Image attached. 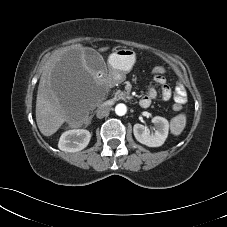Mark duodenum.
I'll return each instance as SVG.
<instances>
[{
    "mask_svg": "<svg viewBox=\"0 0 227 227\" xmlns=\"http://www.w3.org/2000/svg\"><path fill=\"white\" fill-rule=\"evenodd\" d=\"M140 106L143 107V108H146L148 106V103L147 102H144L142 100H140Z\"/></svg>",
    "mask_w": 227,
    "mask_h": 227,
    "instance_id": "1",
    "label": "duodenum"
}]
</instances>
